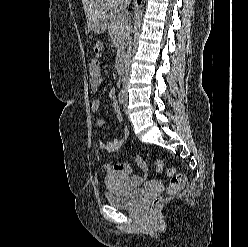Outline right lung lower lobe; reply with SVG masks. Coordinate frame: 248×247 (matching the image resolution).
<instances>
[{
	"label": "right lung lower lobe",
	"instance_id": "obj_1",
	"mask_svg": "<svg viewBox=\"0 0 248 247\" xmlns=\"http://www.w3.org/2000/svg\"><path fill=\"white\" fill-rule=\"evenodd\" d=\"M137 1H138V3L140 4L141 0H137Z\"/></svg>",
	"mask_w": 248,
	"mask_h": 247
}]
</instances>
